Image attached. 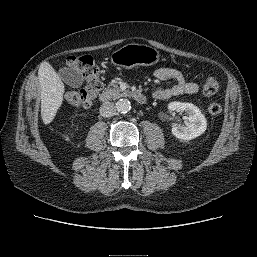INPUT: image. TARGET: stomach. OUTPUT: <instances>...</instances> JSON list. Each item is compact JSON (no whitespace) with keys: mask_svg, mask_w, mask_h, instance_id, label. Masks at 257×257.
I'll return each mask as SVG.
<instances>
[{"mask_svg":"<svg viewBox=\"0 0 257 257\" xmlns=\"http://www.w3.org/2000/svg\"><path fill=\"white\" fill-rule=\"evenodd\" d=\"M159 52L150 46L143 44H127L114 51L111 55V63L126 69L136 66H151L159 61Z\"/></svg>","mask_w":257,"mask_h":257,"instance_id":"obj_1","label":"stomach"}]
</instances>
